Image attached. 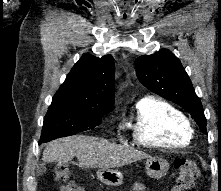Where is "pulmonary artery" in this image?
Listing matches in <instances>:
<instances>
[{
  "mask_svg": "<svg viewBox=\"0 0 221 191\" xmlns=\"http://www.w3.org/2000/svg\"><path fill=\"white\" fill-rule=\"evenodd\" d=\"M149 96H146V97H144L143 99H145V98H148Z\"/></svg>",
  "mask_w": 221,
  "mask_h": 191,
  "instance_id": "1",
  "label": "pulmonary artery"
}]
</instances>
